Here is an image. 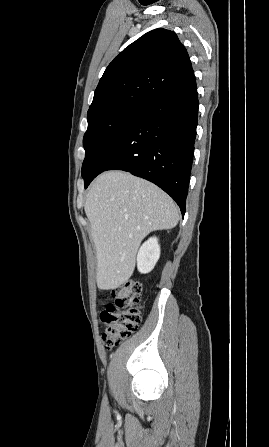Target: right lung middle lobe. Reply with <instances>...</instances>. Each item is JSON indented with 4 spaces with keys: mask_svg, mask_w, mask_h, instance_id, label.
<instances>
[{
    "mask_svg": "<svg viewBox=\"0 0 269 447\" xmlns=\"http://www.w3.org/2000/svg\"><path fill=\"white\" fill-rule=\"evenodd\" d=\"M141 110L142 105L123 106L88 119V129L83 138L85 149L83 179L88 177L89 168L94 161Z\"/></svg>",
    "mask_w": 269,
    "mask_h": 447,
    "instance_id": "dd1d6c3e",
    "label": "right lung middle lobe"
}]
</instances>
